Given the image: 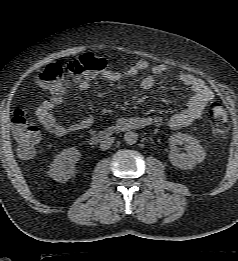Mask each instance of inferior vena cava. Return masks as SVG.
Returning <instances> with one entry per match:
<instances>
[{
	"label": "inferior vena cava",
	"mask_w": 238,
	"mask_h": 261,
	"mask_svg": "<svg viewBox=\"0 0 238 261\" xmlns=\"http://www.w3.org/2000/svg\"><path fill=\"white\" fill-rule=\"evenodd\" d=\"M113 141H114L113 138L104 139L100 144V149L103 151L109 149L111 147Z\"/></svg>",
	"instance_id": "602c4592"
}]
</instances>
